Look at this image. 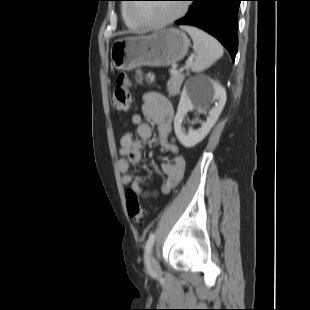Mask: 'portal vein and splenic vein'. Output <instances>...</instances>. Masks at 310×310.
I'll return each instance as SVG.
<instances>
[{"instance_id":"portal-vein-and-splenic-vein-1","label":"portal vein and splenic vein","mask_w":310,"mask_h":310,"mask_svg":"<svg viewBox=\"0 0 310 310\" xmlns=\"http://www.w3.org/2000/svg\"><path fill=\"white\" fill-rule=\"evenodd\" d=\"M193 58H194V55H193V56L191 57V59L187 62L186 68L189 67V65H190V63H191V61H192ZM172 72L177 73V71H172Z\"/></svg>"}]
</instances>
